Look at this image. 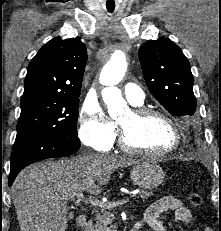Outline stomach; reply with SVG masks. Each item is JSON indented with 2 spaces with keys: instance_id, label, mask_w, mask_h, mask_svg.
Masks as SVG:
<instances>
[{
  "instance_id": "obj_1",
  "label": "stomach",
  "mask_w": 221,
  "mask_h": 231,
  "mask_svg": "<svg viewBox=\"0 0 221 231\" xmlns=\"http://www.w3.org/2000/svg\"><path fill=\"white\" fill-rule=\"evenodd\" d=\"M130 178L140 188L153 189L163 182L165 172L152 160L138 161L131 168Z\"/></svg>"
}]
</instances>
